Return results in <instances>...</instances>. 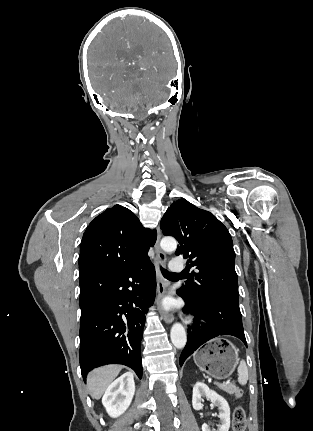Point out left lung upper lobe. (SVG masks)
I'll list each match as a JSON object with an SVG mask.
<instances>
[{
    "mask_svg": "<svg viewBox=\"0 0 313 431\" xmlns=\"http://www.w3.org/2000/svg\"><path fill=\"white\" fill-rule=\"evenodd\" d=\"M165 235L175 237V254L194 267L180 291L191 300L221 298L239 302L235 252L227 228L210 212L185 199L173 202L161 219Z\"/></svg>",
    "mask_w": 313,
    "mask_h": 431,
    "instance_id": "left-lung-upper-lobe-1",
    "label": "left lung upper lobe"
}]
</instances>
